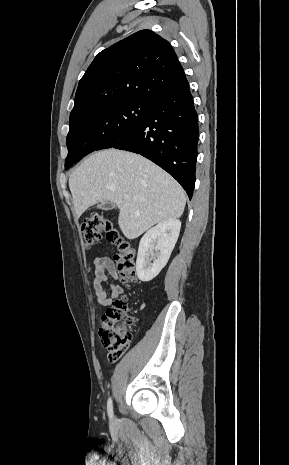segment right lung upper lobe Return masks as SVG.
<instances>
[{
	"label": "right lung upper lobe",
	"mask_w": 289,
	"mask_h": 465,
	"mask_svg": "<svg viewBox=\"0 0 289 465\" xmlns=\"http://www.w3.org/2000/svg\"><path fill=\"white\" fill-rule=\"evenodd\" d=\"M188 86L172 46L150 30H141L101 51L81 78L70 128L94 106L127 100L153 101Z\"/></svg>",
	"instance_id": "1"
}]
</instances>
